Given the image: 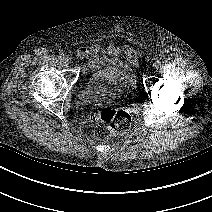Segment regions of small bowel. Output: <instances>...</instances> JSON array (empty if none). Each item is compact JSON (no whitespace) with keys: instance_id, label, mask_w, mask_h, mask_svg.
Here are the masks:
<instances>
[{"instance_id":"c3829d8e","label":"small bowel","mask_w":212,"mask_h":212,"mask_svg":"<svg viewBox=\"0 0 212 212\" xmlns=\"http://www.w3.org/2000/svg\"><path fill=\"white\" fill-rule=\"evenodd\" d=\"M78 55L82 58H86L91 68H99L106 61L118 55L128 57L133 63L137 62L135 55L129 49L120 48L114 44L107 46L98 44L86 45L78 50Z\"/></svg>"}]
</instances>
